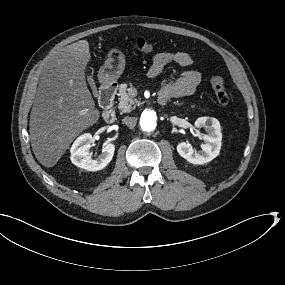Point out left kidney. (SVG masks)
<instances>
[{"mask_svg": "<svg viewBox=\"0 0 285 285\" xmlns=\"http://www.w3.org/2000/svg\"><path fill=\"white\" fill-rule=\"evenodd\" d=\"M196 128L205 127L208 134L199 135L204 144L201 152H194L191 145L181 142L177 145L179 155L192 164H205L219 155L221 149L222 133L219 121L216 118L200 117L195 121Z\"/></svg>", "mask_w": 285, "mask_h": 285, "instance_id": "1", "label": "left kidney"}]
</instances>
